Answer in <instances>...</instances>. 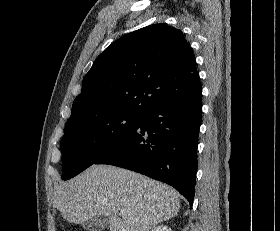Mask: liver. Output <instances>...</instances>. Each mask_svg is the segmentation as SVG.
Wrapping results in <instances>:
<instances>
[{
  "instance_id": "1",
  "label": "liver",
  "mask_w": 280,
  "mask_h": 231,
  "mask_svg": "<svg viewBox=\"0 0 280 231\" xmlns=\"http://www.w3.org/2000/svg\"><path fill=\"white\" fill-rule=\"evenodd\" d=\"M55 205L70 223L106 215L110 231H149L175 217L180 201L166 183L114 165H91L62 183Z\"/></svg>"
}]
</instances>
